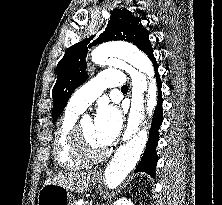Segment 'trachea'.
I'll use <instances>...</instances> for the list:
<instances>
[{
  "label": "trachea",
  "mask_w": 222,
  "mask_h": 205,
  "mask_svg": "<svg viewBox=\"0 0 222 205\" xmlns=\"http://www.w3.org/2000/svg\"><path fill=\"white\" fill-rule=\"evenodd\" d=\"M121 90H128V86L127 85L122 86Z\"/></svg>",
  "instance_id": "1"
}]
</instances>
